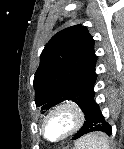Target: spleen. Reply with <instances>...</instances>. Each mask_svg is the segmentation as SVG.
<instances>
[{
	"mask_svg": "<svg viewBox=\"0 0 124 149\" xmlns=\"http://www.w3.org/2000/svg\"><path fill=\"white\" fill-rule=\"evenodd\" d=\"M91 136V135H89ZM79 149H109L105 139L102 137L91 136L84 138L78 145Z\"/></svg>",
	"mask_w": 124,
	"mask_h": 149,
	"instance_id": "obj_1",
	"label": "spleen"
}]
</instances>
